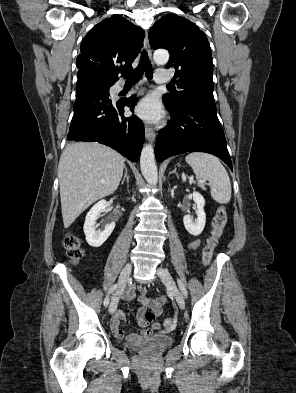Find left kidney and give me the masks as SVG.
Wrapping results in <instances>:
<instances>
[{"instance_id":"left-kidney-1","label":"left kidney","mask_w":296,"mask_h":393,"mask_svg":"<svg viewBox=\"0 0 296 393\" xmlns=\"http://www.w3.org/2000/svg\"><path fill=\"white\" fill-rule=\"evenodd\" d=\"M192 196L197 205V220L193 221L189 215H185L183 217V222L188 233L193 236H198L202 233L206 223V214L204 212L205 199L196 191L193 192Z\"/></svg>"}]
</instances>
